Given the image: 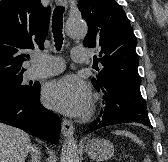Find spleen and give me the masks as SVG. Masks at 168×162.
<instances>
[{
    "mask_svg": "<svg viewBox=\"0 0 168 162\" xmlns=\"http://www.w3.org/2000/svg\"><path fill=\"white\" fill-rule=\"evenodd\" d=\"M116 135H122V136H126L131 138L134 142H136L137 144H139L140 146H142L144 148V144L143 142L133 133L129 132V131H125V130H117L115 132ZM144 162H151L150 158L147 156V158L144 160Z\"/></svg>",
    "mask_w": 168,
    "mask_h": 162,
    "instance_id": "1",
    "label": "spleen"
}]
</instances>
